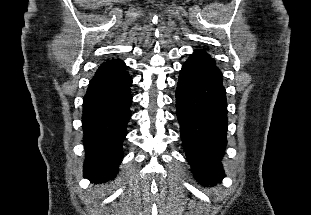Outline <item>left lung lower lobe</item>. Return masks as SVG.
I'll return each instance as SVG.
<instances>
[{"instance_id": "obj_1", "label": "left lung lower lobe", "mask_w": 311, "mask_h": 215, "mask_svg": "<svg viewBox=\"0 0 311 215\" xmlns=\"http://www.w3.org/2000/svg\"><path fill=\"white\" fill-rule=\"evenodd\" d=\"M176 107L192 171L202 184L214 186L224 177L221 157L227 143V102L222 73L204 50H195L182 67Z\"/></svg>"}]
</instances>
